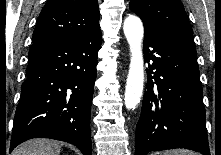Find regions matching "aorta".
<instances>
[{"instance_id":"obj_1","label":"aorta","mask_w":221,"mask_h":155,"mask_svg":"<svg viewBox=\"0 0 221 155\" xmlns=\"http://www.w3.org/2000/svg\"><path fill=\"white\" fill-rule=\"evenodd\" d=\"M123 29L131 53L124 101L127 109H135L143 91L144 67L141 44L144 29L140 18L134 15L125 19Z\"/></svg>"}]
</instances>
